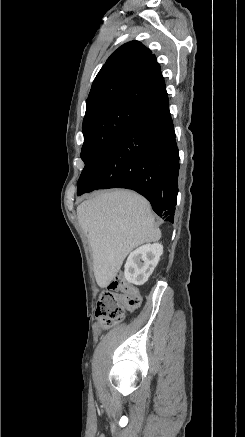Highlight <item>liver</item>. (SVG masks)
Segmentation results:
<instances>
[{
    "label": "liver",
    "mask_w": 245,
    "mask_h": 437,
    "mask_svg": "<svg viewBox=\"0 0 245 437\" xmlns=\"http://www.w3.org/2000/svg\"><path fill=\"white\" fill-rule=\"evenodd\" d=\"M77 217L88 237L94 276L101 288L113 281L133 249L161 237L149 202L127 190L101 192L82 202Z\"/></svg>",
    "instance_id": "liver-1"
}]
</instances>
